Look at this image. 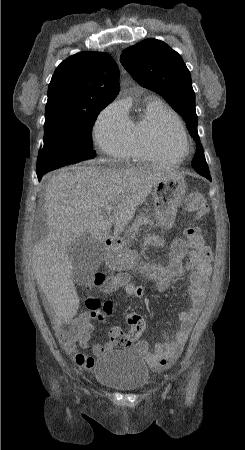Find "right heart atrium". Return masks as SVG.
I'll return each instance as SVG.
<instances>
[{"instance_id":"d8ad5b80","label":"right heart atrium","mask_w":245,"mask_h":450,"mask_svg":"<svg viewBox=\"0 0 245 450\" xmlns=\"http://www.w3.org/2000/svg\"><path fill=\"white\" fill-rule=\"evenodd\" d=\"M131 122L125 106L118 101L104 108L93 126V138L107 157L124 160L130 151Z\"/></svg>"}]
</instances>
